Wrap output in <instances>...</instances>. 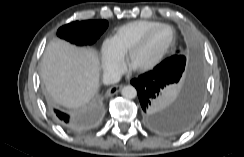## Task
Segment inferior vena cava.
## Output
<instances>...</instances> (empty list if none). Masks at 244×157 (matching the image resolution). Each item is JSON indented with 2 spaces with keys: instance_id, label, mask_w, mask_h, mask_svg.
Returning <instances> with one entry per match:
<instances>
[{
  "instance_id": "inferior-vena-cava-1",
  "label": "inferior vena cava",
  "mask_w": 244,
  "mask_h": 157,
  "mask_svg": "<svg viewBox=\"0 0 244 157\" xmlns=\"http://www.w3.org/2000/svg\"><path fill=\"white\" fill-rule=\"evenodd\" d=\"M120 74L117 72H106L103 75V83L106 85L114 84L119 82Z\"/></svg>"
}]
</instances>
